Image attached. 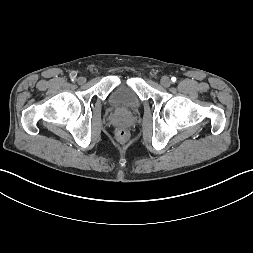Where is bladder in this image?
I'll return each instance as SVG.
<instances>
[{
  "label": "bladder",
  "mask_w": 253,
  "mask_h": 253,
  "mask_svg": "<svg viewBox=\"0 0 253 253\" xmlns=\"http://www.w3.org/2000/svg\"><path fill=\"white\" fill-rule=\"evenodd\" d=\"M108 105L119 111L131 112L141 106V99L129 85L114 88L107 97Z\"/></svg>",
  "instance_id": "31cf9c89"
}]
</instances>
